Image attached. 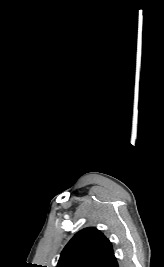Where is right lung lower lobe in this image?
<instances>
[{"label": "right lung lower lobe", "mask_w": 164, "mask_h": 267, "mask_svg": "<svg viewBox=\"0 0 164 267\" xmlns=\"http://www.w3.org/2000/svg\"><path fill=\"white\" fill-rule=\"evenodd\" d=\"M101 267H118V263L116 261V258L113 256L108 261H106Z\"/></svg>", "instance_id": "right-lung-lower-lobe-1"}]
</instances>
